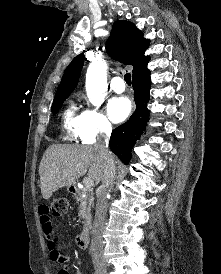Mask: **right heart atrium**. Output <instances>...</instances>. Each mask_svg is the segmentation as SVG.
<instances>
[{"label":"right heart atrium","instance_id":"1","mask_svg":"<svg viewBox=\"0 0 221 274\" xmlns=\"http://www.w3.org/2000/svg\"><path fill=\"white\" fill-rule=\"evenodd\" d=\"M111 131V124L99 109L88 107L80 114L77 138L83 143H93Z\"/></svg>","mask_w":221,"mask_h":274}]
</instances>
